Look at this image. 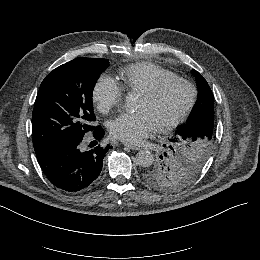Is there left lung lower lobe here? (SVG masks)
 <instances>
[{
    "label": "left lung lower lobe",
    "instance_id": "obj_1",
    "mask_svg": "<svg viewBox=\"0 0 260 260\" xmlns=\"http://www.w3.org/2000/svg\"><path fill=\"white\" fill-rule=\"evenodd\" d=\"M190 133L204 135L214 133V106L209 107L199 103L191 116Z\"/></svg>",
    "mask_w": 260,
    "mask_h": 260
}]
</instances>
